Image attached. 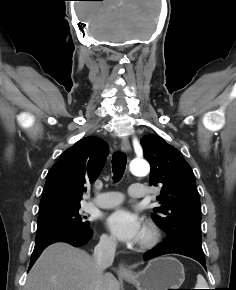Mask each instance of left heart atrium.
<instances>
[{
    "label": "left heart atrium",
    "mask_w": 236,
    "mask_h": 290,
    "mask_svg": "<svg viewBox=\"0 0 236 290\" xmlns=\"http://www.w3.org/2000/svg\"><path fill=\"white\" fill-rule=\"evenodd\" d=\"M106 226L117 239L126 243L137 242L143 234L139 217L125 208L110 213Z\"/></svg>",
    "instance_id": "1"
}]
</instances>
